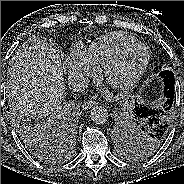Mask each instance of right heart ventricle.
Wrapping results in <instances>:
<instances>
[{
    "mask_svg": "<svg viewBox=\"0 0 184 184\" xmlns=\"http://www.w3.org/2000/svg\"><path fill=\"white\" fill-rule=\"evenodd\" d=\"M135 42L138 41L125 33L112 32L97 38L86 50L88 56L96 65H103L120 49Z\"/></svg>",
    "mask_w": 184,
    "mask_h": 184,
    "instance_id": "1",
    "label": "right heart ventricle"
}]
</instances>
